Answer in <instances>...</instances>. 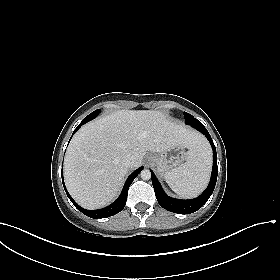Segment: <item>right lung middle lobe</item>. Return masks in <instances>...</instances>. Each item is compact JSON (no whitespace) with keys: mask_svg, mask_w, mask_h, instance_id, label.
Here are the masks:
<instances>
[{"mask_svg":"<svg viewBox=\"0 0 280 280\" xmlns=\"http://www.w3.org/2000/svg\"><path fill=\"white\" fill-rule=\"evenodd\" d=\"M100 110H95L94 112H92L91 114H89L86 118L90 120L94 119L98 114H99Z\"/></svg>","mask_w":280,"mask_h":280,"instance_id":"obj_1","label":"right lung middle lobe"}]
</instances>
